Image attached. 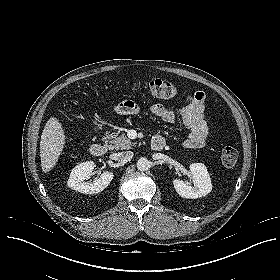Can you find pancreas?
<instances>
[{"instance_id": "obj_1", "label": "pancreas", "mask_w": 280, "mask_h": 280, "mask_svg": "<svg viewBox=\"0 0 280 280\" xmlns=\"http://www.w3.org/2000/svg\"><path fill=\"white\" fill-rule=\"evenodd\" d=\"M104 138L109 142L110 149L125 150L131 149L136 145V143L127 138L125 134L118 136V132L110 133L107 131Z\"/></svg>"}]
</instances>
